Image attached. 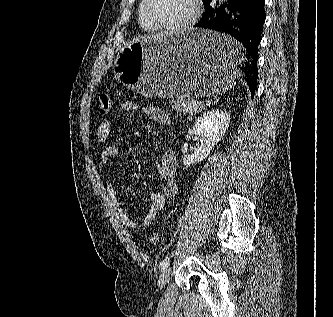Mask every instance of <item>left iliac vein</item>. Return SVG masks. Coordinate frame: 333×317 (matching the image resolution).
<instances>
[{
	"label": "left iliac vein",
	"instance_id": "obj_1",
	"mask_svg": "<svg viewBox=\"0 0 333 317\" xmlns=\"http://www.w3.org/2000/svg\"><path fill=\"white\" fill-rule=\"evenodd\" d=\"M170 271H171L170 267L166 268L163 271V273L161 274V276L159 277L158 286H159L160 289H162L166 285V283L168 282Z\"/></svg>",
	"mask_w": 333,
	"mask_h": 317
}]
</instances>
